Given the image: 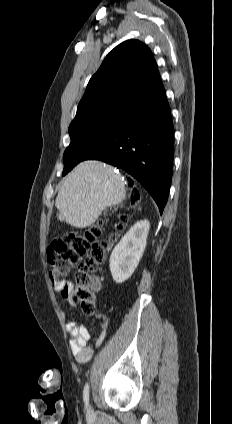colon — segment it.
<instances>
[{
	"label": "colon",
	"instance_id": "obj_1",
	"mask_svg": "<svg viewBox=\"0 0 232 424\" xmlns=\"http://www.w3.org/2000/svg\"><path fill=\"white\" fill-rule=\"evenodd\" d=\"M132 204L139 202L138 190L130 194ZM104 221L91 227L81 235H73L68 240H59L51 243L47 248V263L50 267V280L55 284L66 282L67 276L84 259L75 275V290L72 298L79 303L82 311L87 315L95 313L96 278L92 273L105 259V252L109 244L99 245L97 240L102 235ZM122 227V226H121Z\"/></svg>",
	"mask_w": 232,
	"mask_h": 424
}]
</instances>
